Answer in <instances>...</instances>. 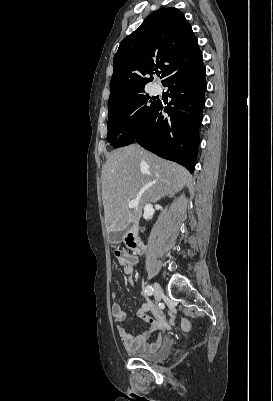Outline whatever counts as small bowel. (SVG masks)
Returning a JSON list of instances; mask_svg holds the SVG:
<instances>
[{"label":"small bowel","instance_id":"1","mask_svg":"<svg viewBox=\"0 0 273 401\" xmlns=\"http://www.w3.org/2000/svg\"><path fill=\"white\" fill-rule=\"evenodd\" d=\"M113 257L125 274H131L138 261L136 256L122 248L115 249L113 251ZM129 284L133 285L134 279L130 278ZM111 298V312L114 317L116 332L121 337L125 349L132 353H152L156 351L164 342L160 334L166 326V320L162 311L151 303L145 302L141 304L136 315L138 319L147 326V329L141 334L133 335L121 325L125 320L126 314L119 301V291L117 289L112 290ZM150 312L152 315L149 314ZM182 322L184 324L183 332L187 333L191 331L188 329L193 327L194 320L184 317ZM166 329H169V326H166ZM154 333H159V335L155 339L150 340L151 335Z\"/></svg>","mask_w":273,"mask_h":401}]
</instances>
